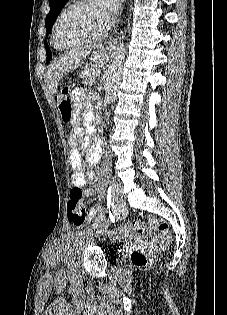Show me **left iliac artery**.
<instances>
[{"label": "left iliac artery", "mask_w": 227, "mask_h": 315, "mask_svg": "<svg viewBox=\"0 0 227 315\" xmlns=\"http://www.w3.org/2000/svg\"><path fill=\"white\" fill-rule=\"evenodd\" d=\"M108 183H109V188H108V206H109V203L112 199V197L115 196V190H114V180H108ZM105 220V215H104V212L101 213V215L97 218V220L95 221V223L93 224L92 226V230H95L99 224H101V222H103Z\"/></svg>", "instance_id": "44dca946"}]
</instances>
